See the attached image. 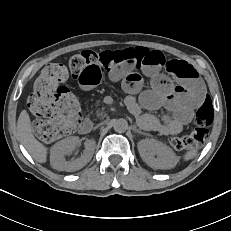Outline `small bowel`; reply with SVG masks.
<instances>
[{
    "mask_svg": "<svg viewBox=\"0 0 231 231\" xmlns=\"http://www.w3.org/2000/svg\"><path fill=\"white\" fill-rule=\"evenodd\" d=\"M151 52L156 57L150 58L144 65L136 66L151 81V88L142 91L139 100L134 94L141 91L143 77L133 67L121 65L108 71L107 77L112 82H122V88L130 94L125 103L143 128L162 134H177L191 121L194 109L203 102L205 86L198 72L187 62L168 60L159 52ZM162 70L174 76L177 84L163 75ZM103 77L104 69L89 66L77 79L82 89L89 90L97 86ZM161 107L170 114L157 118L141 110L155 111Z\"/></svg>",
    "mask_w": 231,
    "mask_h": 231,
    "instance_id": "small-bowel-1",
    "label": "small bowel"
}]
</instances>
